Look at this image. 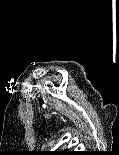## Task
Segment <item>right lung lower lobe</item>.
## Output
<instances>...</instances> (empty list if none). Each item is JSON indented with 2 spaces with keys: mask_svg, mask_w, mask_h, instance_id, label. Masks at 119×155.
Segmentation results:
<instances>
[{
  "mask_svg": "<svg viewBox=\"0 0 119 155\" xmlns=\"http://www.w3.org/2000/svg\"><path fill=\"white\" fill-rule=\"evenodd\" d=\"M67 155H84V154L79 151H69Z\"/></svg>",
  "mask_w": 119,
  "mask_h": 155,
  "instance_id": "obj_1",
  "label": "right lung lower lobe"
}]
</instances>
